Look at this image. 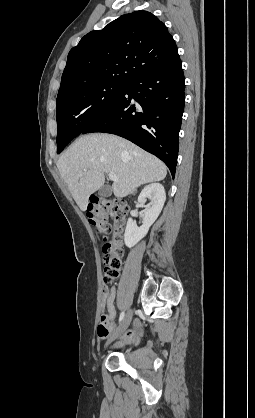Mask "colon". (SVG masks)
I'll list each match as a JSON object with an SVG mask.
<instances>
[{
	"mask_svg": "<svg viewBox=\"0 0 255 418\" xmlns=\"http://www.w3.org/2000/svg\"><path fill=\"white\" fill-rule=\"evenodd\" d=\"M128 208V203L119 198L110 200L95 198L89 207V221L103 236L105 283L113 282L121 269L124 255L123 232ZM105 321L106 316L102 314L99 322L101 329H104Z\"/></svg>",
	"mask_w": 255,
	"mask_h": 418,
	"instance_id": "obj_1",
	"label": "colon"
}]
</instances>
